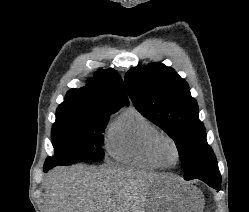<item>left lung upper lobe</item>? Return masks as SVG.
Returning a JSON list of instances; mask_svg holds the SVG:
<instances>
[{"label":"left lung upper lobe","mask_w":249,"mask_h":212,"mask_svg":"<svg viewBox=\"0 0 249 212\" xmlns=\"http://www.w3.org/2000/svg\"><path fill=\"white\" fill-rule=\"evenodd\" d=\"M125 84L137 110L174 140L184 179L220 175L197 102L184 79L170 67L149 64L129 70Z\"/></svg>","instance_id":"1"}]
</instances>
